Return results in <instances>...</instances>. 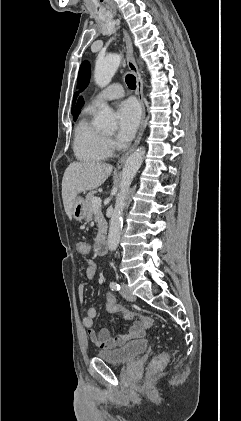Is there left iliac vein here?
I'll return each instance as SVG.
<instances>
[{
    "mask_svg": "<svg viewBox=\"0 0 241 421\" xmlns=\"http://www.w3.org/2000/svg\"><path fill=\"white\" fill-rule=\"evenodd\" d=\"M120 293L128 301H134L136 299L135 295H133V293L131 292L130 288L125 283H122L121 284Z\"/></svg>",
    "mask_w": 241,
    "mask_h": 421,
    "instance_id": "obj_1",
    "label": "left iliac vein"
}]
</instances>
